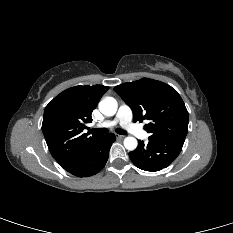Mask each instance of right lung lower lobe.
<instances>
[{"instance_id":"right-lung-lower-lobe-1","label":"right lung lower lobe","mask_w":233,"mask_h":233,"mask_svg":"<svg viewBox=\"0 0 233 233\" xmlns=\"http://www.w3.org/2000/svg\"><path fill=\"white\" fill-rule=\"evenodd\" d=\"M116 137L113 133L98 138L78 159L64 169L77 177L97 174L106 164Z\"/></svg>"}]
</instances>
